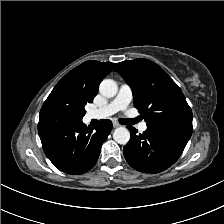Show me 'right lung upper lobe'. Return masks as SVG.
<instances>
[{
  "mask_svg": "<svg viewBox=\"0 0 224 224\" xmlns=\"http://www.w3.org/2000/svg\"><path fill=\"white\" fill-rule=\"evenodd\" d=\"M114 65L111 62L86 61L66 74L59 83L81 93L92 102L100 82L112 71Z\"/></svg>",
  "mask_w": 224,
  "mask_h": 224,
  "instance_id": "1",
  "label": "right lung upper lobe"
}]
</instances>
